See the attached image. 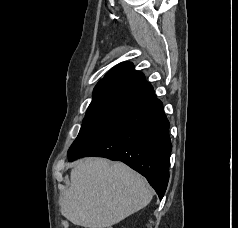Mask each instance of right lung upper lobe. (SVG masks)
<instances>
[{
    "label": "right lung upper lobe",
    "instance_id": "right-lung-upper-lobe-1",
    "mask_svg": "<svg viewBox=\"0 0 238 228\" xmlns=\"http://www.w3.org/2000/svg\"><path fill=\"white\" fill-rule=\"evenodd\" d=\"M156 99L152 86L133 64L123 62L113 67L96 85L87 114L119 115Z\"/></svg>",
    "mask_w": 238,
    "mask_h": 228
}]
</instances>
